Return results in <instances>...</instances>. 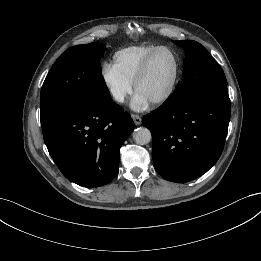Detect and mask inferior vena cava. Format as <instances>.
I'll return each mask as SVG.
<instances>
[{"label":"inferior vena cava","mask_w":261,"mask_h":261,"mask_svg":"<svg viewBox=\"0 0 261 261\" xmlns=\"http://www.w3.org/2000/svg\"><path fill=\"white\" fill-rule=\"evenodd\" d=\"M114 97L119 102H123L124 101V93H122V92L116 93L114 95Z\"/></svg>","instance_id":"602c4592"}]
</instances>
